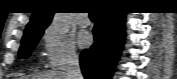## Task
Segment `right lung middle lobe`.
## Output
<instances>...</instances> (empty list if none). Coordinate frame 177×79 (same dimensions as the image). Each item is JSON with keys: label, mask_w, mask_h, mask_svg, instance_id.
Segmentation results:
<instances>
[{"label": "right lung middle lobe", "mask_w": 177, "mask_h": 79, "mask_svg": "<svg viewBox=\"0 0 177 79\" xmlns=\"http://www.w3.org/2000/svg\"><path fill=\"white\" fill-rule=\"evenodd\" d=\"M42 34H43V30L37 31L34 34H32L30 37L22 40V45L19 50L20 58H28L30 56L32 50L35 48Z\"/></svg>", "instance_id": "right-lung-middle-lobe-1"}]
</instances>
